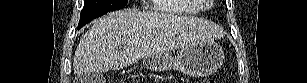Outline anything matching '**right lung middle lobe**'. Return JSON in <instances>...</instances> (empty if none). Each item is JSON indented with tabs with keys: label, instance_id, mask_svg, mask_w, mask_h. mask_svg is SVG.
<instances>
[{
	"label": "right lung middle lobe",
	"instance_id": "1",
	"mask_svg": "<svg viewBox=\"0 0 307 83\" xmlns=\"http://www.w3.org/2000/svg\"><path fill=\"white\" fill-rule=\"evenodd\" d=\"M127 3L128 0H85L78 29L94 18L100 17L109 11L125 7Z\"/></svg>",
	"mask_w": 307,
	"mask_h": 83
}]
</instances>
